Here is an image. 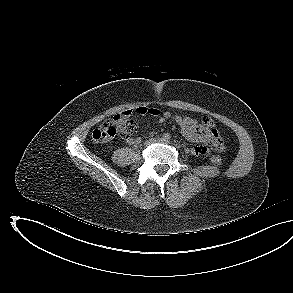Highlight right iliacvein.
Instances as JSON below:
<instances>
[{"instance_id": "right-iliac-vein-1", "label": "right iliac vein", "mask_w": 293, "mask_h": 293, "mask_svg": "<svg viewBox=\"0 0 293 293\" xmlns=\"http://www.w3.org/2000/svg\"><path fill=\"white\" fill-rule=\"evenodd\" d=\"M154 142H156V139H149V140H147V141L145 142V145H146V146H149V145H151V144L154 143Z\"/></svg>"}]
</instances>
